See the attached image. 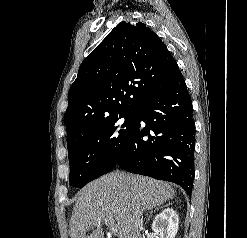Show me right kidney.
Returning <instances> with one entry per match:
<instances>
[{
    "label": "right kidney",
    "mask_w": 247,
    "mask_h": 238,
    "mask_svg": "<svg viewBox=\"0 0 247 238\" xmlns=\"http://www.w3.org/2000/svg\"><path fill=\"white\" fill-rule=\"evenodd\" d=\"M178 226V214L174 209L166 208L155 217L152 223V230L159 235L160 238H175Z\"/></svg>",
    "instance_id": "right-kidney-1"
}]
</instances>
